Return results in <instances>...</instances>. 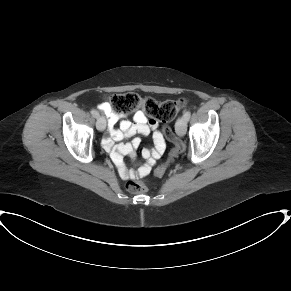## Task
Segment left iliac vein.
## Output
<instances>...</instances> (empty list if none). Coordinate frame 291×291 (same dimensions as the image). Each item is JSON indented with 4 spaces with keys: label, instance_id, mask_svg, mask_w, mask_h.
<instances>
[{
    "label": "left iliac vein",
    "instance_id": "left-iliac-vein-1",
    "mask_svg": "<svg viewBox=\"0 0 291 291\" xmlns=\"http://www.w3.org/2000/svg\"><path fill=\"white\" fill-rule=\"evenodd\" d=\"M186 123L187 120L184 117H180L176 121L175 130L180 137H183L186 134Z\"/></svg>",
    "mask_w": 291,
    "mask_h": 291
}]
</instances>
